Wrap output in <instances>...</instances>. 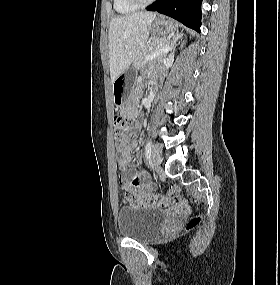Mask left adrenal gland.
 Returning <instances> with one entry per match:
<instances>
[{"label":"left adrenal gland","mask_w":280,"mask_h":285,"mask_svg":"<svg viewBox=\"0 0 280 285\" xmlns=\"http://www.w3.org/2000/svg\"><path fill=\"white\" fill-rule=\"evenodd\" d=\"M181 36H182V33H176V34L172 37V39H171V41H170V51H171V53L174 52L175 47H176V42H177V40H178Z\"/></svg>","instance_id":"obj_1"}]
</instances>
